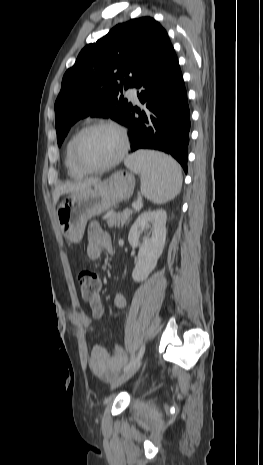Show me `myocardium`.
Returning <instances> with one entry per match:
<instances>
[{
  "instance_id": "myocardium-1",
  "label": "myocardium",
  "mask_w": 263,
  "mask_h": 465,
  "mask_svg": "<svg viewBox=\"0 0 263 465\" xmlns=\"http://www.w3.org/2000/svg\"><path fill=\"white\" fill-rule=\"evenodd\" d=\"M96 128H109V129L114 130L120 138L121 147H120L118 154L111 161L103 165L90 166L84 163L80 157V154H79L80 142L82 140V137L85 135V133H87L88 131L92 129H96ZM128 147H129L128 136H127L125 129L121 125H119L116 122L110 121V120H98V121L88 123L76 133L74 140H73V144H72V157H73L75 164L80 170L86 173H99V172H103L108 169H111L112 167L118 165L122 161V159L125 157L128 151Z\"/></svg>"
}]
</instances>
